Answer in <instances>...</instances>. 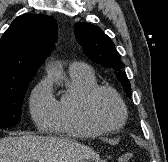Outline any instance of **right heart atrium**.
I'll list each match as a JSON object with an SVG mask.
<instances>
[{"mask_svg":"<svg viewBox=\"0 0 168 162\" xmlns=\"http://www.w3.org/2000/svg\"><path fill=\"white\" fill-rule=\"evenodd\" d=\"M29 107L31 116L39 128L49 129L53 126L57 116V100L53 96L48 78L42 79L33 89Z\"/></svg>","mask_w":168,"mask_h":162,"instance_id":"obj_1","label":"right heart atrium"}]
</instances>
